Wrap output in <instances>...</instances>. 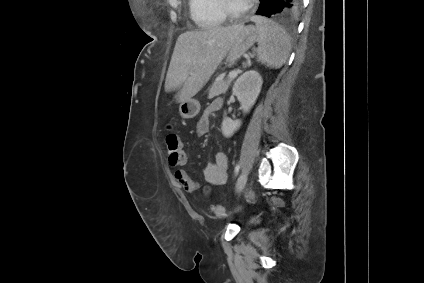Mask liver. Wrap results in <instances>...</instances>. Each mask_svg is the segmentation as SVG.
I'll use <instances>...</instances> for the list:
<instances>
[{"instance_id": "obj_1", "label": "liver", "mask_w": 424, "mask_h": 283, "mask_svg": "<svg viewBox=\"0 0 424 283\" xmlns=\"http://www.w3.org/2000/svg\"><path fill=\"white\" fill-rule=\"evenodd\" d=\"M244 24L186 31L175 44L165 90L180 89L177 102L191 98L208 82L227 55L230 44Z\"/></svg>"}]
</instances>
